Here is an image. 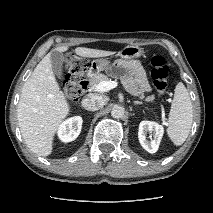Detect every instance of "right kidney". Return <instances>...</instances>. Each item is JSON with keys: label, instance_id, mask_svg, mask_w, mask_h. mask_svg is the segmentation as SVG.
<instances>
[{"label": "right kidney", "instance_id": "1", "mask_svg": "<svg viewBox=\"0 0 213 213\" xmlns=\"http://www.w3.org/2000/svg\"><path fill=\"white\" fill-rule=\"evenodd\" d=\"M82 117L75 116L65 120L58 128V136L62 142L75 140L81 132Z\"/></svg>", "mask_w": 213, "mask_h": 213}]
</instances>
